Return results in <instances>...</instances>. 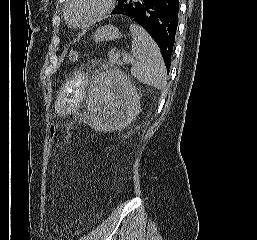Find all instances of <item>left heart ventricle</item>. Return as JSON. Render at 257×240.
Returning <instances> with one entry per match:
<instances>
[{"mask_svg": "<svg viewBox=\"0 0 257 240\" xmlns=\"http://www.w3.org/2000/svg\"><path fill=\"white\" fill-rule=\"evenodd\" d=\"M105 0H73L69 16L73 23L81 24L93 17L104 5Z\"/></svg>", "mask_w": 257, "mask_h": 240, "instance_id": "obj_1", "label": "left heart ventricle"}]
</instances>
